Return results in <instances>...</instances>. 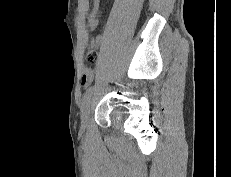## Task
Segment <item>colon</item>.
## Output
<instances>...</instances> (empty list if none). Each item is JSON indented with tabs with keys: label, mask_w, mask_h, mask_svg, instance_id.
<instances>
[{
	"label": "colon",
	"mask_w": 231,
	"mask_h": 177,
	"mask_svg": "<svg viewBox=\"0 0 231 177\" xmlns=\"http://www.w3.org/2000/svg\"><path fill=\"white\" fill-rule=\"evenodd\" d=\"M97 59V53L93 49H88L87 60L89 62H94Z\"/></svg>",
	"instance_id": "5ec220e1"
}]
</instances>
